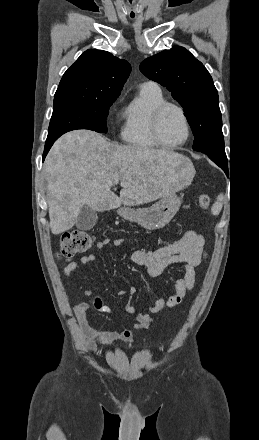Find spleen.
I'll return each mask as SVG.
<instances>
[{
    "label": "spleen",
    "instance_id": "obj_1",
    "mask_svg": "<svg viewBox=\"0 0 259 440\" xmlns=\"http://www.w3.org/2000/svg\"><path fill=\"white\" fill-rule=\"evenodd\" d=\"M224 196L223 194L218 195L216 202L212 206V214L218 215L222 209V202H223Z\"/></svg>",
    "mask_w": 259,
    "mask_h": 440
}]
</instances>
